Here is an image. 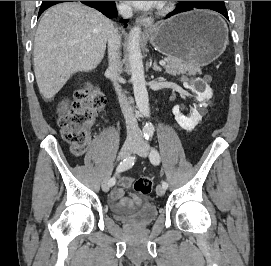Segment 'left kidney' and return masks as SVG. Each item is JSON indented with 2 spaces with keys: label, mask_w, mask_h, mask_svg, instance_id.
Wrapping results in <instances>:
<instances>
[{
  "label": "left kidney",
  "mask_w": 271,
  "mask_h": 266,
  "mask_svg": "<svg viewBox=\"0 0 271 266\" xmlns=\"http://www.w3.org/2000/svg\"><path fill=\"white\" fill-rule=\"evenodd\" d=\"M184 85H187L186 82H184ZM212 96V90L206 86L205 90L203 92H197L196 99L198 102H200V107H206V101H208ZM172 112L175 116V120L180 125V127L186 131H192L196 125L202 120V115L198 111V109H194L192 115L190 117H185L181 114L179 110V106L176 105L172 109Z\"/></svg>",
  "instance_id": "5707ae66"
}]
</instances>
